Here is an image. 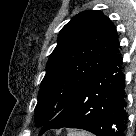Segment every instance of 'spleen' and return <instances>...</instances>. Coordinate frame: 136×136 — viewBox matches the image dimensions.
Returning a JSON list of instances; mask_svg holds the SVG:
<instances>
[{"label": "spleen", "instance_id": "3e777b00", "mask_svg": "<svg viewBox=\"0 0 136 136\" xmlns=\"http://www.w3.org/2000/svg\"><path fill=\"white\" fill-rule=\"evenodd\" d=\"M71 136H89L83 132H77V133H73Z\"/></svg>", "mask_w": 136, "mask_h": 136}]
</instances>
